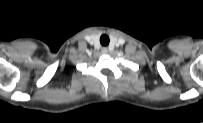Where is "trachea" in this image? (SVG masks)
<instances>
[{"instance_id": "1", "label": "trachea", "mask_w": 203, "mask_h": 123, "mask_svg": "<svg viewBox=\"0 0 203 123\" xmlns=\"http://www.w3.org/2000/svg\"><path fill=\"white\" fill-rule=\"evenodd\" d=\"M100 43L103 46H107L109 44V37L107 35H102L100 38Z\"/></svg>"}]
</instances>
